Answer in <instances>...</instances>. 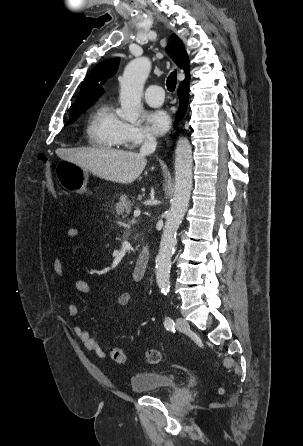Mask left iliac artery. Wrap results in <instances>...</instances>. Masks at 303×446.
I'll return each instance as SVG.
<instances>
[{"label":"left iliac artery","mask_w":303,"mask_h":446,"mask_svg":"<svg viewBox=\"0 0 303 446\" xmlns=\"http://www.w3.org/2000/svg\"><path fill=\"white\" fill-rule=\"evenodd\" d=\"M164 325L167 330H174L175 323L170 317L165 318Z\"/></svg>","instance_id":"44dca946"}]
</instances>
